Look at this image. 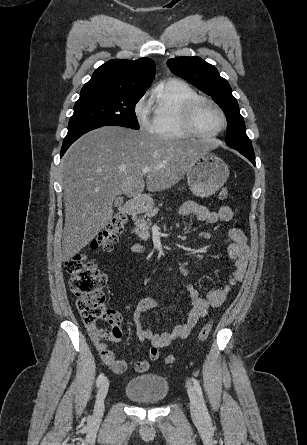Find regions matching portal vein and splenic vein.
Instances as JSON below:
<instances>
[{"label": "portal vein and splenic vein", "mask_w": 307, "mask_h": 445, "mask_svg": "<svg viewBox=\"0 0 307 445\" xmlns=\"http://www.w3.org/2000/svg\"><path fill=\"white\" fill-rule=\"evenodd\" d=\"M150 170H155V168H150V166H144L142 172H144V174H146V172H150Z\"/></svg>", "instance_id": "18ae733b"}]
</instances>
